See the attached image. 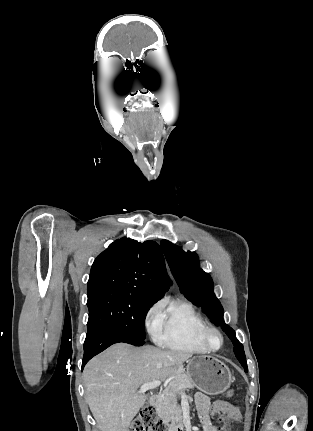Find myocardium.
Masks as SVG:
<instances>
[{
  "instance_id": "myocardium-1",
  "label": "myocardium",
  "mask_w": 313,
  "mask_h": 431,
  "mask_svg": "<svg viewBox=\"0 0 313 431\" xmlns=\"http://www.w3.org/2000/svg\"><path fill=\"white\" fill-rule=\"evenodd\" d=\"M212 333L216 334L220 339V345L218 347H213L210 343L209 337ZM202 342L209 351H218L223 347L224 337L222 332L217 327L209 325L205 328L202 334Z\"/></svg>"
}]
</instances>
